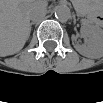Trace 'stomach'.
Wrapping results in <instances>:
<instances>
[{"instance_id":"0dacf381","label":"stomach","mask_w":103,"mask_h":103,"mask_svg":"<svg viewBox=\"0 0 103 103\" xmlns=\"http://www.w3.org/2000/svg\"><path fill=\"white\" fill-rule=\"evenodd\" d=\"M91 6V3L89 2H80L76 4V8L78 9V11H87V9H89V7Z\"/></svg>"}]
</instances>
